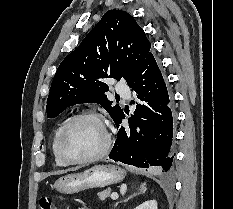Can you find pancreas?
Wrapping results in <instances>:
<instances>
[{
    "mask_svg": "<svg viewBox=\"0 0 233 209\" xmlns=\"http://www.w3.org/2000/svg\"><path fill=\"white\" fill-rule=\"evenodd\" d=\"M98 197L100 200H104L106 197H108V193L107 192H100L98 194Z\"/></svg>",
    "mask_w": 233,
    "mask_h": 209,
    "instance_id": "obj_1",
    "label": "pancreas"
}]
</instances>
